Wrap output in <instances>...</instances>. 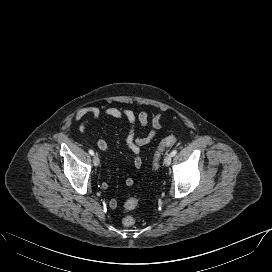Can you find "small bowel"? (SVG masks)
<instances>
[{
  "mask_svg": "<svg viewBox=\"0 0 272 272\" xmlns=\"http://www.w3.org/2000/svg\"><path fill=\"white\" fill-rule=\"evenodd\" d=\"M102 114L101 109L96 106H87L79 109L75 114L76 120H82L79 126L81 133H85L86 125L93 120H96ZM103 114L106 117H111L119 120L127 121L131 128L126 137V145L133 153V165L136 169H140L142 166L141 158V148L150 144L155 137L158 135L162 128V115L160 113L154 114L151 118L147 111L141 110L138 113L125 107H110L106 109ZM151 124V129L148 133L142 134L138 133L136 127H147ZM96 146L99 150L107 152L109 147L105 140L98 139ZM127 186H132L134 184V178L128 176L125 180ZM101 187L106 189L108 187L107 183H102ZM109 206L112 209L117 207V201L111 199L109 201Z\"/></svg>",
  "mask_w": 272,
  "mask_h": 272,
  "instance_id": "obj_1",
  "label": "small bowel"
}]
</instances>
